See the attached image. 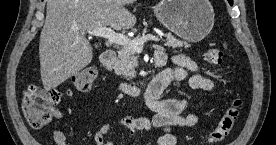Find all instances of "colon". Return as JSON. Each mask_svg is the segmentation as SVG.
Listing matches in <instances>:
<instances>
[{
    "mask_svg": "<svg viewBox=\"0 0 276 145\" xmlns=\"http://www.w3.org/2000/svg\"><path fill=\"white\" fill-rule=\"evenodd\" d=\"M223 50L209 48L204 53V60L211 66H218L223 61ZM97 78V71L88 67L81 69L69 79L71 86L78 91L88 90ZM63 92L56 88H45L40 85H29L25 88L21 110L23 116L32 128L46 126L53 117L54 107L61 101ZM242 107L239 97L232 99L222 117L208 138V145H216L223 141L236 124Z\"/></svg>",
    "mask_w": 276,
    "mask_h": 145,
    "instance_id": "1",
    "label": "colon"
}]
</instances>
